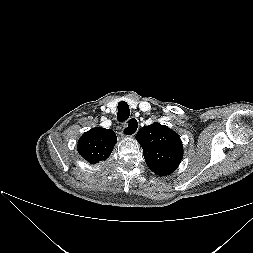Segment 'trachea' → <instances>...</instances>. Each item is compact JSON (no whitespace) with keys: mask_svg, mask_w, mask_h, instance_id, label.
Segmentation results:
<instances>
[{"mask_svg":"<svg viewBox=\"0 0 253 253\" xmlns=\"http://www.w3.org/2000/svg\"><path fill=\"white\" fill-rule=\"evenodd\" d=\"M129 115H130L129 105L126 102L121 101L118 104V113H117L118 120L120 122H123L129 118ZM132 123H133L132 120H130L129 126H131Z\"/></svg>","mask_w":253,"mask_h":253,"instance_id":"1","label":"trachea"}]
</instances>
